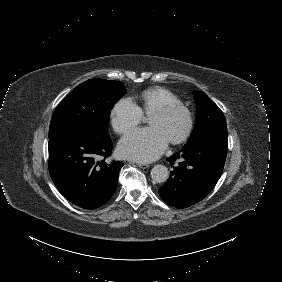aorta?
Masks as SVG:
<instances>
[{
    "mask_svg": "<svg viewBox=\"0 0 282 282\" xmlns=\"http://www.w3.org/2000/svg\"><path fill=\"white\" fill-rule=\"evenodd\" d=\"M169 177L168 168L164 165H155L151 170V178L156 183H163Z\"/></svg>",
    "mask_w": 282,
    "mask_h": 282,
    "instance_id": "aorta-1",
    "label": "aorta"
}]
</instances>
